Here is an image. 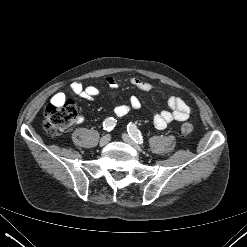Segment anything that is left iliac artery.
Instances as JSON below:
<instances>
[{
	"label": "left iliac artery",
	"mask_w": 247,
	"mask_h": 247,
	"mask_svg": "<svg viewBox=\"0 0 247 247\" xmlns=\"http://www.w3.org/2000/svg\"><path fill=\"white\" fill-rule=\"evenodd\" d=\"M127 131H128V134L129 136L136 142V143H139V144H142L143 143V137L141 135V132L138 130V128L132 124V123H129L127 125Z\"/></svg>",
	"instance_id": "44dca946"
}]
</instances>
